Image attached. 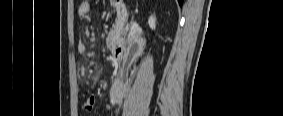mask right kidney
Instances as JSON below:
<instances>
[{"mask_svg": "<svg viewBox=\"0 0 283 116\" xmlns=\"http://www.w3.org/2000/svg\"><path fill=\"white\" fill-rule=\"evenodd\" d=\"M148 24L152 30H155L156 19L153 15L149 17ZM145 44L146 40L138 35L131 39L130 50L134 57H139L142 55Z\"/></svg>", "mask_w": 283, "mask_h": 116, "instance_id": "1", "label": "right kidney"}]
</instances>
